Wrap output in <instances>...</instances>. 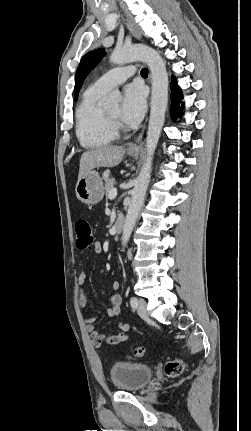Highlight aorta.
<instances>
[{
  "label": "aorta",
  "mask_w": 251,
  "mask_h": 431,
  "mask_svg": "<svg viewBox=\"0 0 251 431\" xmlns=\"http://www.w3.org/2000/svg\"><path fill=\"white\" fill-rule=\"evenodd\" d=\"M135 60H141L149 66L152 75V94L146 137L147 156L131 193V202L123 226L122 246L124 247L130 239L144 202L151 177L153 155L164 125L168 103V74L165 62L156 50L146 45H133L115 49L110 56V61L114 64H124ZM115 104L116 96L111 95L106 101V105Z\"/></svg>",
  "instance_id": "obj_1"
}]
</instances>
